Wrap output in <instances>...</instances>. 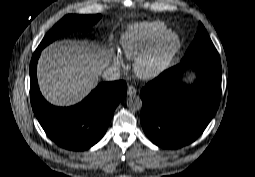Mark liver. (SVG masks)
<instances>
[{
  "instance_id": "6515ba94",
  "label": "liver",
  "mask_w": 255,
  "mask_h": 177,
  "mask_svg": "<svg viewBox=\"0 0 255 177\" xmlns=\"http://www.w3.org/2000/svg\"><path fill=\"white\" fill-rule=\"evenodd\" d=\"M112 54L88 40H61L51 44L43 50L37 65L42 94L58 106L80 102L96 86Z\"/></svg>"
}]
</instances>
